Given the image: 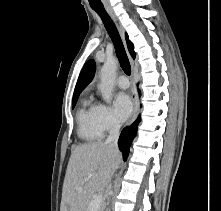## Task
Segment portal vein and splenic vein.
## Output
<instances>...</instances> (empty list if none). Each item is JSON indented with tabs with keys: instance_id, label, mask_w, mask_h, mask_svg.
<instances>
[{
	"instance_id": "18ae733b",
	"label": "portal vein and splenic vein",
	"mask_w": 221,
	"mask_h": 211,
	"mask_svg": "<svg viewBox=\"0 0 221 211\" xmlns=\"http://www.w3.org/2000/svg\"><path fill=\"white\" fill-rule=\"evenodd\" d=\"M90 179V176L85 178L84 181L82 182V184H84L85 182H87L88 180ZM103 202V197L102 195H97L95 196L92 201L90 202V205H89V211H97L101 204Z\"/></svg>"
}]
</instances>
